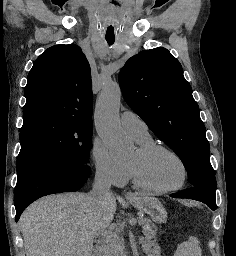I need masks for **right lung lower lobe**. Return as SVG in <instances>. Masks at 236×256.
I'll use <instances>...</instances> for the list:
<instances>
[{
    "mask_svg": "<svg viewBox=\"0 0 236 256\" xmlns=\"http://www.w3.org/2000/svg\"><path fill=\"white\" fill-rule=\"evenodd\" d=\"M91 172L90 165L64 163L32 169L17 178L14 189L16 222L24 209L36 199L54 193L80 189Z\"/></svg>",
    "mask_w": 236,
    "mask_h": 256,
    "instance_id": "1",
    "label": "right lung lower lobe"
}]
</instances>
